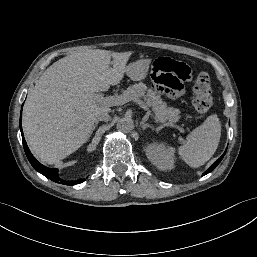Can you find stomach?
I'll list each match as a JSON object with an SVG mask.
<instances>
[{
  "label": "stomach",
  "mask_w": 257,
  "mask_h": 257,
  "mask_svg": "<svg viewBox=\"0 0 257 257\" xmlns=\"http://www.w3.org/2000/svg\"><path fill=\"white\" fill-rule=\"evenodd\" d=\"M150 63V59H142L131 63L126 67L125 74L133 81H140L146 77Z\"/></svg>",
  "instance_id": "0dacf381"
}]
</instances>
